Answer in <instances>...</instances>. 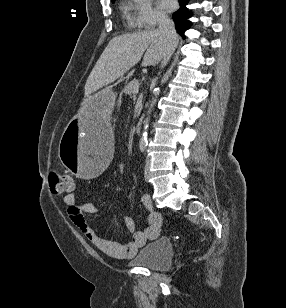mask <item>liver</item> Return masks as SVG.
I'll use <instances>...</instances> for the list:
<instances>
[{
  "label": "liver",
  "instance_id": "obj_1",
  "mask_svg": "<svg viewBox=\"0 0 286 308\" xmlns=\"http://www.w3.org/2000/svg\"><path fill=\"white\" fill-rule=\"evenodd\" d=\"M167 47V40L155 29L114 37L104 49L85 84L87 101L83 113L88 122L95 123L94 113L88 110L94 92L123 77L142 57L144 67L158 64ZM95 113L100 115L98 111Z\"/></svg>",
  "mask_w": 286,
  "mask_h": 308
}]
</instances>
